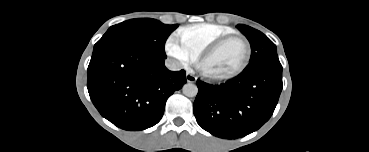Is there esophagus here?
Returning a JSON list of instances; mask_svg holds the SVG:
<instances>
[{
	"mask_svg": "<svg viewBox=\"0 0 369 152\" xmlns=\"http://www.w3.org/2000/svg\"><path fill=\"white\" fill-rule=\"evenodd\" d=\"M186 80H187V82L194 83V82H196L197 77L195 75L191 74V73H187L186 74Z\"/></svg>",
	"mask_w": 369,
	"mask_h": 152,
	"instance_id": "obj_1",
	"label": "esophagus"
}]
</instances>
